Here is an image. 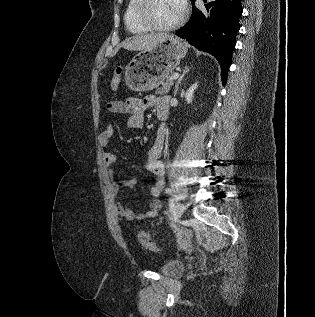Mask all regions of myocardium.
I'll return each mask as SVG.
<instances>
[{
    "instance_id": "obj_1",
    "label": "myocardium",
    "mask_w": 315,
    "mask_h": 317,
    "mask_svg": "<svg viewBox=\"0 0 315 317\" xmlns=\"http://www.w3.org/2000/svg\"><path fill=\"white\" fill-rule=\"evenodd\" d=\"M153 0H140V4L137 9V18L141 25H143L148 30L153 31H170L180 27L185 21V12L182 11L180 17L171 24L168 25H158L154 23L150 16L149 11Z\"/></svg>"
}]
</instances>
